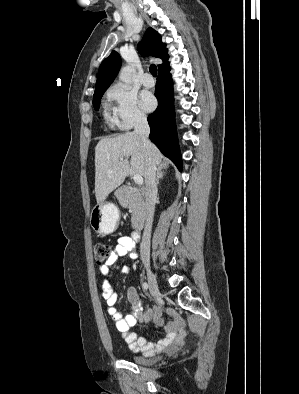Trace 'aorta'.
I'll use <instances>...</instances> for the list:
<instances>
[{
	"instance_id": "obj_1",
	"label": "aorta",
	"mask_w": 299,
	"mask_h": 394,
	"mask_svg": "<svg viewBox=\"0 0 299 394\" xmlns=\"http://www.w3.org/2000/svg\"><path fill=\"white\" fill-rule=\"evenodd\" d=\"M133 72L134 69L131 66H125L119 73V79L125 84H131Z\"/></svg>"
}]
</instances>
